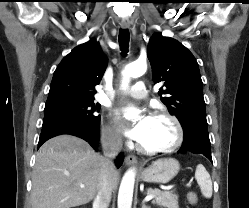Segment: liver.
Instances as JSON below:
<instances>
[{
    "mask_svg": "<svg viewBox=\"0 0 249 208\" xmlns=\"http://www.w3.org/2000/svg\"><path fill=\"white\" fill-rule=\"evenodd\" d=\"M103 163L104 157L81 138L59 135L49 139L36 154L32 208H71L89 203L98 193ZM118 180L115 170L112 190Z\"/></svg>",
    "mask_w": 249,
    "mask_h": 208,
    "instance_id": "6515ba94",
    "label": "liver"
}]
</instances>
